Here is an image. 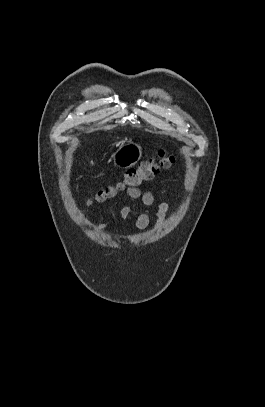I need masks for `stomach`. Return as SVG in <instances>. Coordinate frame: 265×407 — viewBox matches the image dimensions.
Returning a JSON list of instances; mask_svg holds the SVG:
<instances>
[{
	"mask_svg": "<svg viewBox=\"0 0 265 407\" xmlns=\"http://www.w3.org/2000/svg\"><path fill=\"white\" fill-rule=\"evenodd\" d=\"M142 157V149L136 143H127L117 149L113 155L114 165L119 168L134 166Z\"/></svg>",
	"mask_w": 265,
	"mask_h": 407,
	"instance_id": "stomach-1",
	"label": "stomach"
}]
</instances>
